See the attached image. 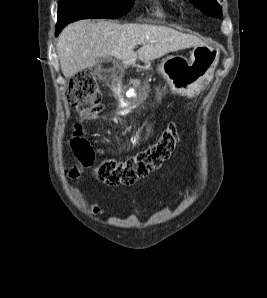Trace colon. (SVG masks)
<instances>
[{
	"instance_id": "1",
	"label": "colon",
	"mask_w": 267,
	"mask_h": 298,
	"mask_svg": "<svg viewBox=\"0 0 267 298\" xmlns=\"http://www.w3.org/2000/svg\"><path fill=\"white\" fill-rule=\"evenodd\" d=\"M66 97L84 118H92L100 110V92L95 77L89 71H81L70 79ZM179 139L178 126L172 122L153 144L135 155L125 160L103 159L97 162L93 147L83 137L80 124H76L70 147L81 167L93 168L99 181L111 186L132 185L168 160ZM75 172L76 169H72L70 174Z\"/></svg>"
}]
</instances>
